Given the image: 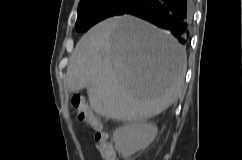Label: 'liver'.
I'll list each match as a JSON object with an SVG mask.
<instances>
[{
	"label": "liver",
	"instance_id": "liver-1",
	"mask_svg": "<svg viewBox=\"0 0 242 160\" xmlns=\"http://www.w3.org/2000/svg\"><path fill=\"white\" fill-rule=\"evenodd\" d=\"M186 66L185 49L174 37L124 15L83 35L70 57L66 82L71 92L87 89L97 114L144 122L177 99Z\"/></svg>",
	"mask_w": 242,
	"mask_h": 160
}]
</instances>
